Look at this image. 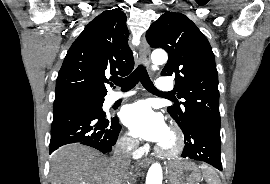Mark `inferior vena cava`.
Masks as SVG:
<instances>
[{"instance_id":"obj_1","label":"inferior vena cava","mask_w":270,"mask_h":184,"mask_svg":"<svg viewBox=\"0 0 270 184\" xmlns=\"http://www.w3.org/2000/svg\"><path fill=\"white\" fill-rule=\"evenodd\" d=\"M138 141L134 139H123L119 141L114 150L111 164L122 172H125L130 164L131 150L136 148Z\"/></svg>"}]
</instances>
